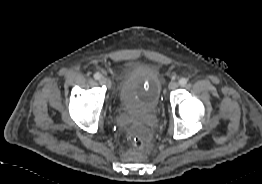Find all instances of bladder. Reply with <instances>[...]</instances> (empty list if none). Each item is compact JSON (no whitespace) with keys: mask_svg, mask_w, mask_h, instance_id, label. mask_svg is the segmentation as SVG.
<instances>
[{"mask_svg":"<svg viewBox=\"0 0 262 184\" xmlns=\"http://www.w3.org/2000/svg\"><path fill=\"white\" fill-rule=\"evenodd\" d=\"M161 74L151 66H136L129 69L119 88V103L122 111L135 116L143 111L157 108L162 94Z\"/></svg>","mask_w":262,"mask_h":184,"instance_id":"31cf9c89","label":"bladder"}]
</instances>
